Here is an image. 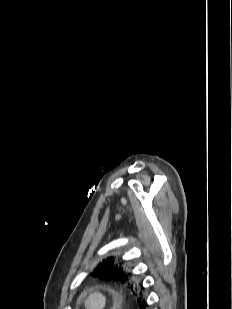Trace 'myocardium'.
Masks as SVG:
<instances>
[{
    "mask_svg": "<svg viewBox=\"0 0 232 309\" xmlns=\"http://www.w3.org/2000/svg\"><path fill=\"white\" fill-rule=\"evenodd\" d=\"M92 300H97L98 301V306L97 307H92L90 305ZM108 306V296L106 293L99 289H92L90 290L85 298H84V308L85 309H106Z\"/></svg>",
    "mask_w": 232,
    "mask_h": 309,
    "instance_id": "myocardium-1",
    "label": "myocardium"
}]
</instances>
